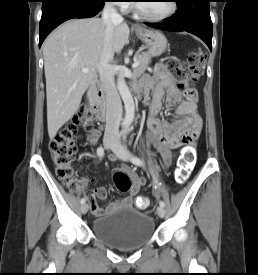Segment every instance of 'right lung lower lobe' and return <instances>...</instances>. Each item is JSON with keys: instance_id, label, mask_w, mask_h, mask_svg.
<instances>
[{"instance_id": "1", "label": "right lung lower lobe", "mask_w": 258, "mask_h": 275, "mask_svg": "<svg viewBox=\"0 0 258 275\" xmlns=\"http://www.w3.org/2000/svg\"><path fill=\"white\" fill-rule=\"evenodd\" d=\"M105 0H43L40 21L39 46L47 35L59 24L72 18L95 16L104 6Z\"/></svg>"}]
</instances>
